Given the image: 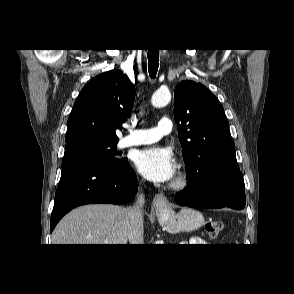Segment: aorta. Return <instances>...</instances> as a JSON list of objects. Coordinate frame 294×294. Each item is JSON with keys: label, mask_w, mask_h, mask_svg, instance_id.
Returning a JSON list of instances; mask_svg holds the SVG:
<instances>
[{"label": "aorta", "mask_w": 294, "mask_h": 294, "mask_svg": "<svg viewBox=\"0 0 294 294\" xmlns=\"http://www.w3.org/2000/svg\"><path fill=\"white\" fill-rule=\"evenodd\" d=\"M171 100V93L168 89H159L157 90L152 98L151 103L154 107H163L167 105Z\"/></svg>", "instance_id": "aorta-1"}]
</instances>
